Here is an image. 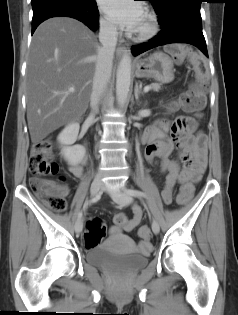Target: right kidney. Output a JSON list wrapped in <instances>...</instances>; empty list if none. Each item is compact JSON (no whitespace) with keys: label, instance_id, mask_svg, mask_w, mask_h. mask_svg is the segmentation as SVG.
<instances>
[{"label":"right kidney","instance_id":"1","mask_svg":"<svg viewBox=\"0 0 238 315\" xmlns=\"http://www.w3.org/2000/svg\"><path fill=\"white\" fill-rule=\"evenodd\" d=\"M79 128L78 123H72L65 127L57 138L62 156L73 166L79 164L85 155V148L82 145H73L77 140Z\"/></svg>","mask_w":238,"mask_h":315}]
</instances>
